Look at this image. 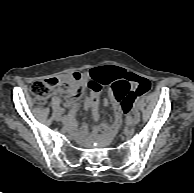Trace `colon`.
I'll use <instances>...</instances> for the list:
<instances>
[{"mask_svg": "<svg viewBox=\"0 0 194 193\" xmlns=\"http://www.w3.org/2000/svg\"><path fill=\"white\" fill-rule=\"evenodd\" d=\"M81 74L75 72L65 77H52L43 81L34 82L31 87V93L35 101L39 104L46 102L52 88L63 85L67 88V96L71 99H77L82 93L80 86ZM102 84L93 83L92 88L95 92L101 90ZM107 85V84H105ZM147 84L140 79H137L131 74L121 75L117 81L110 86L109 93L116 101H121L124 110L129 111L131 102H128L126 97H133L136 91H143ZM122 93L120 95L119 93ZM130 123V119H127Z\"/></svg>", "mask_w": 194, "mask_h": 193, "instance_id": "obj_1", "label": "colon"}]
</instances>
